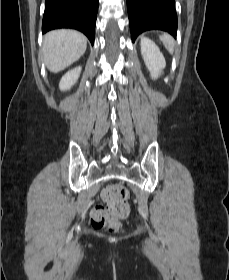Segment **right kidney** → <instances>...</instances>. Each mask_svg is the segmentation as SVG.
<instances>
[{
    "label": "right kidney",
    "instance_id": "right-kidney-1",
    "mask_svg": "<svg viewBox=\"0 0 229 280\" xmlns=\"http://www.w3.org/2000/svg\"><path fill=\"white\" fill-rule=\"evenodd\" d=\"M81 73V67H76L68 71L60 80L59 88L62 91L69 90L78 80Z\"/></svg>",
    "mask_w": 229,
    "mask_h": 280
}]
</instances>
